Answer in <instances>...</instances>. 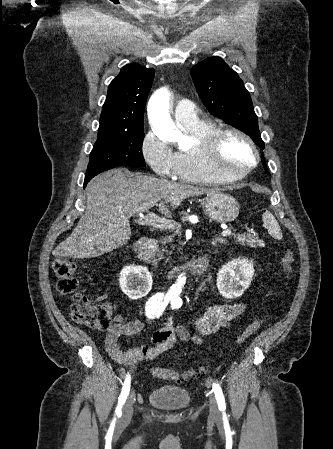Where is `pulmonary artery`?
<instances>
[{
  "label": "pulmonary artery",
  "instance_id": "e3ab8cb5",
  "mask_svg": "<svg viewBox=\"0 0 333 449\" xmlns=\"http://www.w3.org/2000/svg\"><path fill=\"white\" fill-rule=\"evenodd\" d=\"M174 118L180 125H192L199 121L195 105L187 99H183L177 104Z\"/></svg>",
  "mask_w": 333,
  "mask_h": 449
}]
</instances>
